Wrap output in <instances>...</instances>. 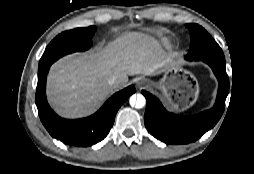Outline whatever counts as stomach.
<instances>
[{
	"label": "stomach",
	"mask_w": 254,
	"mask_h": 174,
	"mask_svg": "<svg viewBox=\"0 0 254 174\" xmlns=\"http://www.w3.org/2000/svg\"><path fill=\"white\" fill-rule=\"evenodd\" d=\"M167 103L175 110L184 111L198 99L199 84L196 77L179 65L170 64L157 83Z\"/></svg>",
	"instance_id": "obj_1"
}]
</instances>
